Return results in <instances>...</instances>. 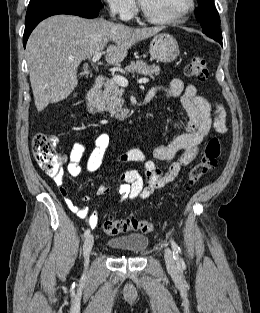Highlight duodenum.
<instances>
[{
  "mask_svg": "<svg viewBox=\"0 0 260 313\" xmlns=\"http://www.w3.org/2000/svg\"><path fill=\"white\" fill-rule=\"evenodd\" d=\"M105 84L104 76L100 75L95 80L92 86L89 88L85 95V106L87 111L93 116L102 115L103 111L98 107L99 95L102 87ZM150 100L149 97L146 98L145 103Z\"/></svg>",
  "mask_w": 260,
  "mask_h": 313,
  "instance_id": "duodenum-1",
  "label": "duodenum"
}]
</instances>
